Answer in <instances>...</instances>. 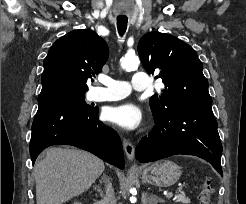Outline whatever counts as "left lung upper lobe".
<instances>
[{
	"label": "left lung upper lobe",
	"mask_w": 246,
	"mask_h": 204,
	"mask_svg": "<svg viewBox=\"0 0 246 204\" xmlns=\"http://www.w3.org/2000/svg\"><path fill=\"white\" fill-rule=\"evenodd\" d=\"M145 70L158 72L165 85L162 94L150 98L154 119L166 116L175 107L211 106L208 81L197 53L178 38L159 32L145 34L138 44Z\"/></svg>",
	"instance_id": "obj_1"
}]
</instances>
